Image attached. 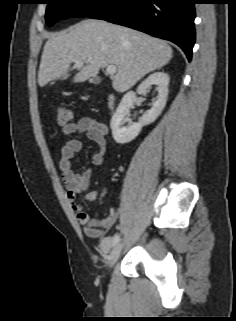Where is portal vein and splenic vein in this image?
<instances>
[{
	"label": "portal vein and splenic vein",
	"mask_w": 236,
	"mask_h": 321,
	"mask_svg": "<svg viewBox=\"0 0 236 321\" xmlns=\"http://www.w3.org/2000/svg\"><path fill=\"white\" fill-rule=\"evenodd\" d=\"M75 66L76 67H81V66H83V62L82 61H76L75 62ZM116 71H117V68L114 65H109V66L106 67V73L111 75V76H113L116 73Z\"/></svg>",
	"instance_id": "portal-vein-and-splenic-vein-1"
}]
</instances>
